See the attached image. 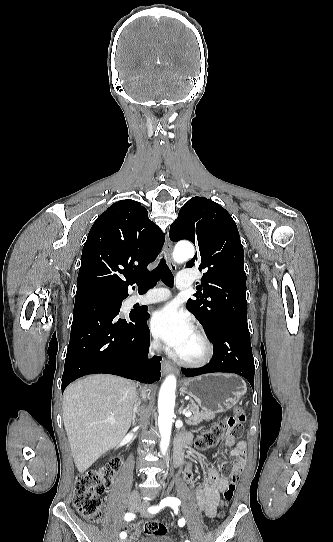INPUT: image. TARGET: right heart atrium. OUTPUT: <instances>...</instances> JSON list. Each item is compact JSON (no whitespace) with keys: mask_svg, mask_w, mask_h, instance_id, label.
I'll return each instance as SVG.
<instances>
[{"mask_svg":"<svg viewBox=\"0 0 333 542\" xmlns=\"http://www.w3.org/2000/svg\"><path fill=\"white\" fill-rule=\"evenodd\" d=\"M150 348L155 352L161 349L160 342L153 333L151 334V337H150Z\"/></svg>","mask_w":333,"mask_h":542,"instance_id":"1","label":"right heart atrium"}]
</instances>
